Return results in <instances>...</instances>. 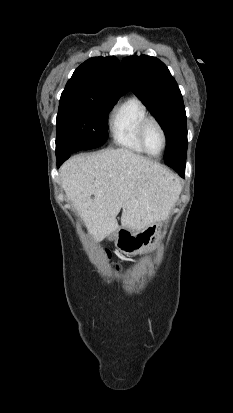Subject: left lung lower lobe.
Listing matches in <instances>:
<instances>
[{
  "label": "left lung lower lobe",
  "instance_id": "obj_1",
  "mask_svg": "<svg viewBox=\"0 0 233 413\" xmlns=\"http://www.w3.org/2000/svg\"><path fill=\"white\" fill-rule=\"evenodd\" d=\"M174 169L178 172V174L184 178V174H185V164L184 165H180V164H176L174 165Z\"/></svg>",
  "mask_w": 233,
  "mask_h": 413
}]
</instances>
